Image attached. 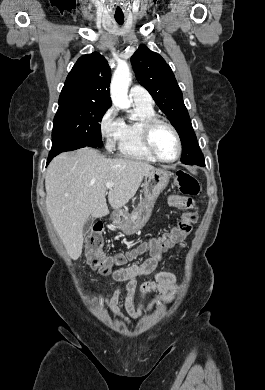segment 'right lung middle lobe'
<instances>
[{"label":"right lung middle lobe","instance_id":"1","mask_svg":"<svg viewBox=\"0 0 265 390\" xmlns=\"http://www.w3.org/2000/svg\"><path fill=\"white\" fill-rule=\"evenodd\" d=\"M108 108L88 102H59L53 121L52 144L101 147L100 122Z\"/></svg>","mask_w":265,"mask_h":390}]
</instances>
